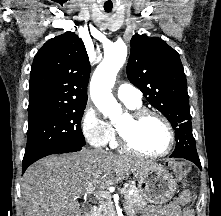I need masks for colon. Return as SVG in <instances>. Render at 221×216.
I'll return each mask as SVG.
<instances>
[{
	"label": "colon",
	"instance_id": "obj_1",
	"mask_svg": "<svg viewBox=\"0 0 221 216\" xmlns=\"http://www.w3.org/2000/svg\"><path fill=\"white\" fill-rule=\"evenodd\" d=\"M171 168L178 178L184 181L187 179L188 166L185 163L180 162V161H174L171 164Z\"/></svg>",
	"mask_w": 221,
	"mask_h": 216
}]
</instances>
